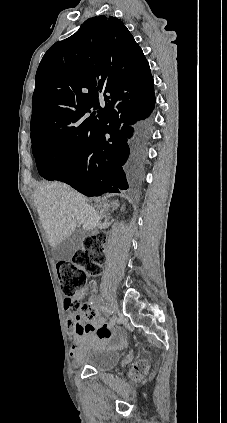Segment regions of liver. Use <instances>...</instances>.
I'll return each instance as SVG.
<instances>
[{
	"mask_svg": "<svg viewBox=\"0 0 227 423\" xmlns=\"http://www.w3.org/2000/svg\"><path fill=\"white\" fill-rule=\"evenodd\" d=\"M34 202L52 247L72 235L78 223H82L85 231H92L101 225L104 217L102 211L95 210L99 206L93 208L88 198L60 182L39 184Z\"/></svg>",
	"mask_w": 227,
	"mask_h": 423,
	"instance_id": "1",
	"label": "liver"
}]
</instances>
